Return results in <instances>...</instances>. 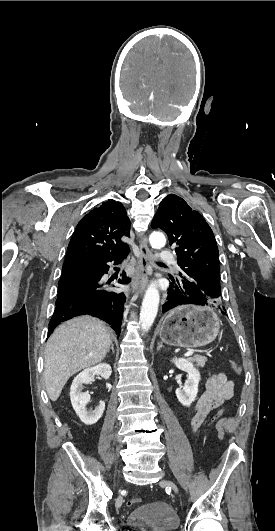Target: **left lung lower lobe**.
<instances>
[{
	"label": "left lung lower lobe",
	"mask_w": 275,
	"mask_h": 531,
	"mask_svg": "<svg viewBox=\"0 0 275 531\" xmlns=\"http://www.w3.org/2000/svg\"><path fill=\"white\" fill-rule=\"evenodd\" d=\"M182 304H185V303L178 302L177 300L173 299V297L170 294H168L167 301L162 306V311L163 312H167L170 309H172V308H174V307H176L178 305H182ZM222 313H224V312L222 311Z\"/></svg>",
	"instance_id": "0a47b994"
}]
</instances>
